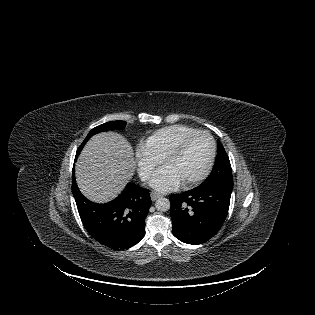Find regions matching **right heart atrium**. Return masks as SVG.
I'll return each mask as SVG.
<instances>
[{
    "label": "right heart atrium",
    "mask_w": 315,
    "mask_h": 315,
    "mask_svg": "<svg viewBox=\"0 0 315 315\" xmlns=\"http://www.w3.org/2000/svg\"><path fill=\"white\" fill-rule=\"evenodd\" d=\"M135 157L138 172L142 179H148L154 169L161 163L159 159L146 143H140L136 147Z\"/></svg>",
    "instance_id": "1"
}]
</instances>
